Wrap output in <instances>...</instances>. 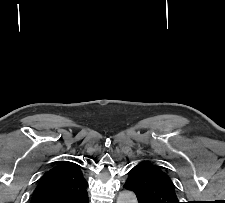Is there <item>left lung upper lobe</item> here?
<instances>
[{"label": "left lung upper lobe", "mask_w": 225, "mask_h": 203, "mask_svg": "<svg viewBox=\"0 0 225 203\" xmlns=\"http://www.w3.org/2000/svg\"><path fill=\"white\" fill-rule=\"evenodd\" d=\"M125 183L136 194L139 203H179L170 177L151 162L134 166Z\"/></svg>", "instance_id": "1"}]
</instances>
